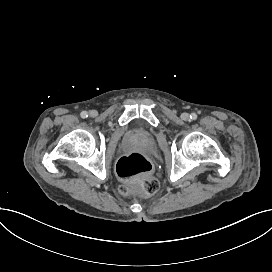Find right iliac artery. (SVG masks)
Listing matches in <instances>:
<instances>
[{
	"mask_svg": "<svg viewBox=\"0 0 272 272\" xmlns=\"http://www.w3.org/2000/svg\"><path fill=\"white\" fill-rule=\"evenodd\" d=\"M80 115H81L82 118H87L88 117V113L86 111L81 112Z\"/></svg>",
	"mask_w": 272,
	"mask_h": 272,
	"instance_id": "obj_1",
	"label": "right iliac artery"
}]
</instances>
